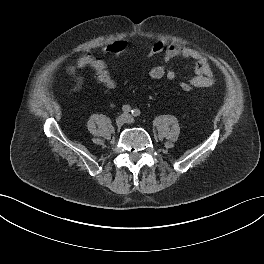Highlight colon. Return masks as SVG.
<instances>
[{
	"mask_svg": "<svg viewBox=\"0 0 264 264\" xmlns=\"http://www.w3.org/2000/svg\"><path fill=\"white\" fill-rule=\"evenodd\" d=\"M127 48V41L124 39H116L105 47V53L107 55L119 56L121 55ZM165 49V43L163 41H156L153 43L147 51L148 58H154L159 56ZM72 71H74L72 69ZM179 87L181 90L189 92L192 91L195 86L191 81H182L179 83Z\"/></svg>",
	"mask_w": 264,
	"mask_h": 264,
	"instance_id": "1",
	"label": "colon"
}]
</instances>
